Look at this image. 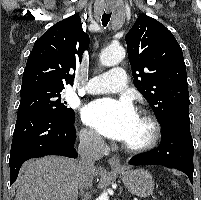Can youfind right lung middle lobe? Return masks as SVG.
<instances>
[{
	"label": "right lung middle lobe",
	"instance_id": "1",
	"mask_svg": "<svg viewBox=\"0 0 201 200\" xmlns=\"http://www.w3.org/2000/svg\"><path fill=\"white\" fill-rule=\"evenodd\" d=\"M61 93L62 91L48 90L21 93L17 117L35 112H45L67 120L75 118L73 110L67 108L66 102L61 100Z\"/></svg>",
	"mask_w": 201,
	"mask_h": 200
}]
</instances>
